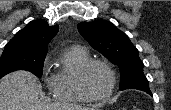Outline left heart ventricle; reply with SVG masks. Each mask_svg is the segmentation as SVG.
<instances>
[{"mask_svg": "<svg viewBox=\"0 0 171 110\" xmlns=\"http://www.w3.org/2000/svg\"><path fill=\"white\" fill-rule=\"evenodd\" d=\"M85 83L91 94L100 96L110 89L111 76L104 66L93 65L86 75Z\"/></svg>", "mask_w": 171, "mask_h": 110, "instance_id": "obj_1", "label": "left heart ventricle"}]
</instances>
